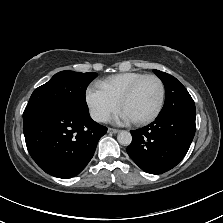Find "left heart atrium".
I'll return each instance as SVG.
<instances>
[{
	"mask_svg": "<svg viewBox=\"0 0 223 223\" xmlns=\"http://www.w3.org/2000/svg\"><path fill=\"white\" fill-rule=\"evenodd\" d=\"M117 122L132 120L123 110L118 111L115 116Z\"/></svg>",
	"mask_w": 223,
	"mask_h": 223,
	"instance_id": "obj_1",
	"label": "left heart atrium"
}]
</instances>
